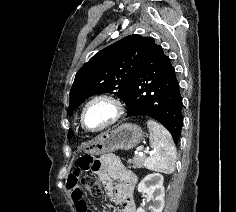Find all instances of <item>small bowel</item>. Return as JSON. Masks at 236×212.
<instances>
[{
	"label": "small bowel",
	"instance_id": "obj_1",
	"mask_svg": "<svg viewBox=\"0 0 236 212\" xmlns=\"http://www.w3.org/2000/svg\"><path fill=\"white\" fill-rule=\"evenodd\" d=\"M94 170L104 178L108 185V194L111 201L121 206V212H136L133 199V187L136 177L120 160L112 155L105 154L98 161V168ZM79 170L73 171L67 180L66 188L71 195L76 212H89L87 202L82 191L77 187ZM117 181L115 188H111L110 181Z\"/></svg>",
	"mask_w": 236,
	"mask_h": 212
}]
</instances>
